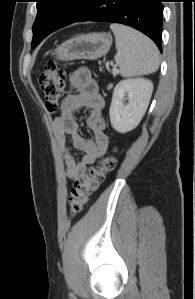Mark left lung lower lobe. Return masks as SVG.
I'll return each instance as SVG.
<instances>
[{
	"label": "left lung lower lobe",
	"instance_id": "1",
	"mask_svg": "<svg viewBox=\"0 0 195 299\" xmlns=\"http://www.w3.org/2000/svg\"><path fill=\"white\" fill-rule=\"evenodd\" d=\"M163 0H90L76 22H114L131 26L149 36L162 52Z\"/></svg>",
	"mask_w": 195,
	"mask_h": 299
}]
</instances>
